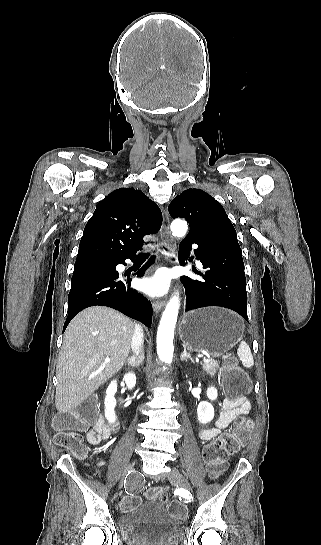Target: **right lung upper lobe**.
<instances>
[{
    "instance_id": "1",
    "label": "right lung upper lobe",
    "mask_w": 321,
    "mask_h": 545,
    "mask_svg": "<svg viewBox=\"0 0 321 545\" xmlns=\"http://www.w3.org/2000/svg\"><path fill=\"white\" fill-rule=\"evenodd\" d=\"M161 224L160 209L140 190L117 189L98 203L86 224L74 267L136 255L143 237L158 232Z\"/></svg>"
}]
</instances>
